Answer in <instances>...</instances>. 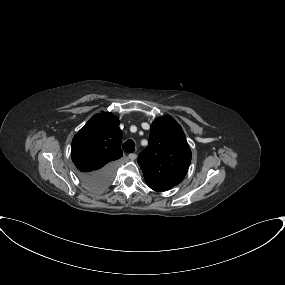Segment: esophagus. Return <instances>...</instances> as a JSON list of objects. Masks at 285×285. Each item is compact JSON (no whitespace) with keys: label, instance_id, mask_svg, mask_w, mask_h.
Wrapping results in <instances>:
<instances>
[{"label":"esophagus","instance_id":"obj_1","mask_svg":"<svg viewBox=\"0 0 285 285\" xmlns=\"http://www.w3.org/2000/svg\"><path fill=\"white\" fill-rule=\"evenodd\" d=\"M136 157H137V155L135 154V153H131L129 156H128V158L130 159V160H135L136 159Z\"/></svg>","mask_w":285,"mask_h":285}]
</instances>
